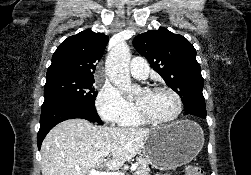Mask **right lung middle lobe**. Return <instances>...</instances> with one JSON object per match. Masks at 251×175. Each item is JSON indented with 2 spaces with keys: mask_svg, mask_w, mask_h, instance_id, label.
<instances>
[{
  "mask_svg": "<svg viewBox=\"0 0 251 175\" xmlns=\"http://www.w3.org/2000/svg\"><path fill=\"white\" fill-rule=\"evenodd\" d=\"M94 78L70 76L46 77L44 97L65 98L84 104H94L98 92L93 87Z\"/></svg>",
  "mask_w": 251,
  "mask_h": 175,
  "instance_id": "obj_1",
  "label": "right lung middle lobe"
}]
</instances>
